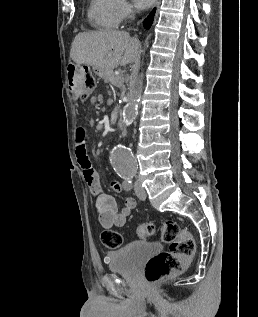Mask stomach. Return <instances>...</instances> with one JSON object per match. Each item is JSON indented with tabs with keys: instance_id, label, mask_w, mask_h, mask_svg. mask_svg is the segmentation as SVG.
<instances>
[{
	"instance_id": "1",
	"label": "stomach",
	"mask_w": 258,
	"mask_h": 317,
	"mask_svg": "<svg viewBox=\"0 0 258 317\" xmlns=\"http://www.w3.org/2000/svg\"><path fill=\"white\" fill-rule=\"evenodd\" d=\"M75 68H79V70H82V68H84V66H81V64H78V62H76Z\"/></svg>"
}]
</instances>
